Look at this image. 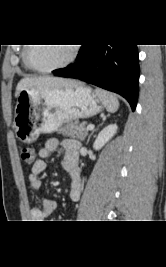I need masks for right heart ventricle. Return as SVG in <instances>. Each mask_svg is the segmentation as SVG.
Instances as JSON below:
<instances>
[{
	"label": "right heart ventricle",
	"instance_id": "obj_1",
	"mask_svg": "<svg viewBox=\"0 0 166 267\" xmlns=\"http://www.w3.org/2000/svg\"><path fill=\"white\" fill-rule=\"evenodd\" d=\"M23 63H24L25 68H26L27 70H30V68L27 66V64H26L25 61H24V53H23Z\"/></svg>",
	"mask_w": 166,
	"mask_h": 267
}]
</instances>
